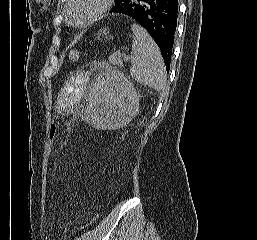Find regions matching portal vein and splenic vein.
<instances>
[{
    "label": "portal vein and splenic vein",
    "mask_w": 257,
    "mask_h": 240,
    "mask_svg": "<svg viewBox=\"0 0 257 240\" xmlns=\"http://www.w3.org/2000/svg\"><path fill=\"white\" fill-rule=\"evenodd\" d=\"M129 57L128 56H124V60L128 61Z\"/></svg>",
    "instance_id": "portal-vein-and-splenic-vein-1"
}]
</instances>
